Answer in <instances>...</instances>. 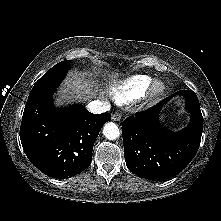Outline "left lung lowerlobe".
<instances>
[{
  "label": "left lung lower lobe",
  "instance_id": "obj_1",
  "mask_svg": "<svg viewBox=\"0 0 221 221\" xmlns=\"http://www.w3.org/2000/svg\"><path fill=\"white\" fill-rule=\"evenodd\" d=\"M174 95L185 98L186 109L191 114L185 129L175 133L160 124L158 116L169 97L123 121L126 165L138 176L158 181L176 175L190 163L200 146L203 117L195 92L181 90Z\"/></svg>",
  "mask_w": 221,
  "mask_h": 221
}]
</instances>
